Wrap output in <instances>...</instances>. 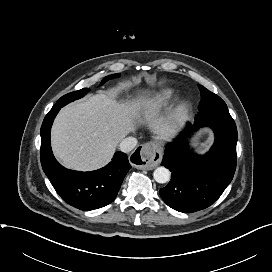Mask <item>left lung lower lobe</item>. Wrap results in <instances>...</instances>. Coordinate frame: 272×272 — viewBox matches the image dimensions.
I'll use <instances>...</instances> for the list:
<instances>
[{
    "label": "left lung lower lobe",
    "mask_w": 272,
    "mask_h": 272,
    "mask_svg": "<svg viewBox=\"0 0 272 272\" xmlns=\"http://www.w3.org/2000/svg\"><path fill=\"white\" fill-rule=\"evenodd\" d=\"M202 126L212 128L215 142L205 155L187 151V137ZM237 128L228 108L200 112L192 125L168 143L161 165L172 172L171 181L160 189L165 203L184 213L212 205L231 182L236 169Z\"/></svg>",
    "instance_id": "obj_1"
}]
</instances>
